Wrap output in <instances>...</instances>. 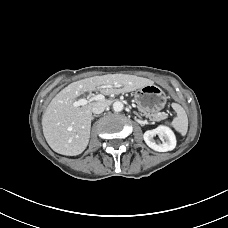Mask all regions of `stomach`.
Masks as SVG:
<instances>
[{"mask_svg":"<svg viewBox=\"0 0 228 228\" xmlns=\"http://www.w3.org/2000/svg\"><path fill=\"white\" fill-rule=\"evenodd\" d=\"M138 107L147 113H156L164 108L166 96L163 90L154 85H146L135 92Z\"/></svg>","mask_w":228,"mask_h":228,"instance_id":"1","label":"stomach"}]
</instances>
